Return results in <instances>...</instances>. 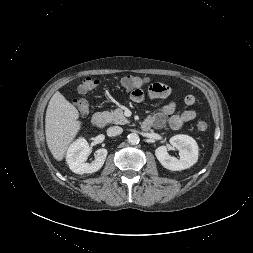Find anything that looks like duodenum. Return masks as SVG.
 <instances>
[{
	"instance_id": "duodenum-1",
	"label": "duodenum",
	"mask_w": 253,
	"mask_h": 253,
	"mask_svg": "<svg viewBox=\"0 0 253 253\" xmlns=\"http://www.w3.org/2000/svg\"><path fill=\"white\" fill-rule=\"evenodd\" d=\"M91 124L95 128H102L105 126V118L101 113H96L92 116L91 118ZM150 128V124L147 121H144L142 123V129L143 130H148Z\"/></svg>"
}]
</instances>
